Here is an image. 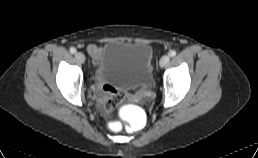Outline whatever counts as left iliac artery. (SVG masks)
<instances>
[{"instance_id": "1", "label": "left iliac artery", "mask_w": 258, "mask_h": 158, "mask_svg": "<svg viewBox=\"0 0 258 158\" xmlns=\"http://www.w3.org/2000/svg\"><path fill=\"white\" fill-rule=\"evenodd\" d=\"M170 56H171V57L176 56V51H175V50L170 51Z\"/></svg>"}]
</instances>
